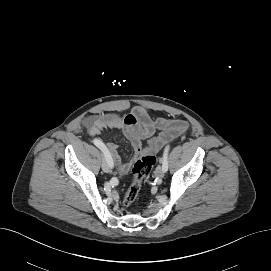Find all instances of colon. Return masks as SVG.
Wrapping results in <instances>:
<instances>
[{"label": "colon", "instance_id": "obj_1", "mask_svg": "<svg viewBox=\"0 0 271 271\" xmlns=\"http://www.w3.org/2000/svg\"><path fill=\"white\" fill-rule=\"evenodd\" d=\"M156 163V157L153 152H146L135 162L132 172L133 180L123 198V205L129 207L136 200L144 178L150 173Z\"/></svg>", "mask_w": 271, "mask_h": 271}]
</instances>
